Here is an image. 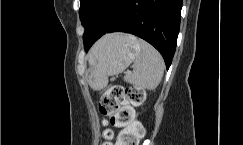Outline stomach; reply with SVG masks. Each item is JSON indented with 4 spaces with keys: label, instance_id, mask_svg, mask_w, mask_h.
Here are the masks:
<instances>
[{
    "label": "stomach",
    "instance_id": "stomach-1",
    "mask_svg": "<svg viewBox=\"0 0 243 145\" xmlns=\"http://www.w3.org/2000/svg\"><path fill=\"white\" fill-rule=\"evenodd\" d=\"M140 54L139 40L132 35L115 33L103 39L92 52L86 73L89 85L100 90L108 77L124 71Z\"/></svg>",
    "mask_w": 243,
    "mask_h": 145
}]
</instances>
